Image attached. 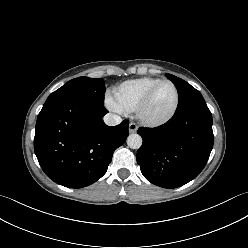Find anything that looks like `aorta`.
I'll list each match as a JSON object with an SVG mask.
<instances>
[{
  "instance_id": "obj_1",
  "label": "aorta",
  "mask_w": 248,
  "mask_h": 248,
  "mask_svg": "<svg viewBox=\"0 0 248 248\" xmlns=\"http://www.w3.org/2000/svg\"><path fill=\"white\" fill-rule=\"evenodd\" d=\"M127 145L132 149H139L142 145V137L139 134H130L127 138Z\"/></svg>"
}]
</instances>
